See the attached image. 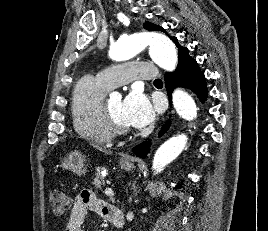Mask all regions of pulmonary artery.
<instances>
[{
	"label": "pulmonary artery",
	"instance_id": "e3ab8cb5",
	"mask_svg": "<svg viewBox=\"0 0 268 231\" xmlns=\"http://www.w3.org/2000/svg\"><path fill=\"white\" fill-rule=\"evenodd\" d=\"M98 79L109 88L128 83L132 79L153 81L157 79V68L144 62L108 67L97 74Z\"/></svg>",
	"mask_w": 268,
	"mask_h": 231
}]
</instances>
